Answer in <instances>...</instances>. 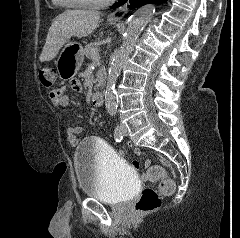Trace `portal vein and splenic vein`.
<instances>
[{
    "label": "portal vein and splenic vein",
    "instance_id": "1",
    "mask_svg": "<svg viewBox=\"0 0 240 238\" xmlns=\"http://www.w3.org/2000/svg\"><path fill=\"white\" fill-rule=\"evenodd\" d=\"M92 56H93V60H95V61H99L100 60L99 52H93Z\"/></svg>",
    "mask_w": 240,
    "mask_h": 238
}]
</instances>
